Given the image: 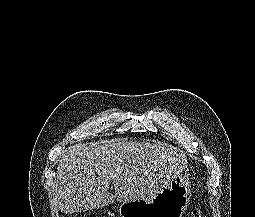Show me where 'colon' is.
<instances>
[{"label":"colon","mask_w":255,"mask_h":217,"mask_svg":"<svg viewBox=\"0 0 255 217\" xmlns=\"http://www.w3.org/2000/svg\"><path fill=\"white\" fill-rule=\"evenodd\" d=\"M191 217H201L200 211L198 209L193 210Z\"/></svg>","instance_id":"5ec220e1"}]
</instances>
